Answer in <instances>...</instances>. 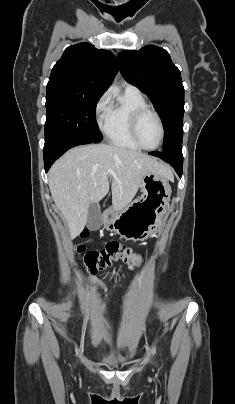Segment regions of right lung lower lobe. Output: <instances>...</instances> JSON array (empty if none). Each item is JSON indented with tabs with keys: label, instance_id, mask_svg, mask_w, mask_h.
I'll return each instance as SVG.
<instances>
[{
	"label": "right lung lower lobe",
	"instance_id": "1",
	"mask_svg": "<svg viewBox=\"0 0 235 404\" xmlns=\"http://www.w3.org/2000/svg\"><path fill=\"white\" fill-rule=\"evenodd\" d=\"M89 143L92 142L73 134H63L46 139L43 150L45 172H47L51 165L70 148Z\"/></svg>",
	"mask_w": 235,
	"mask_h": 404
}]
</instances>
